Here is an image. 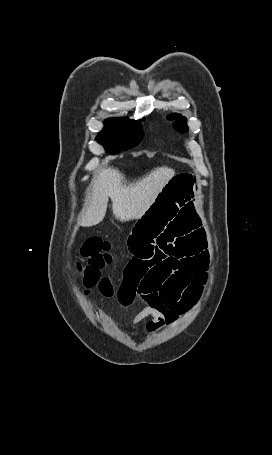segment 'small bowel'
I'll list each match as a JSON object with an SVG mask.
<instances>
[{
    "label": "small bowel",
    "instance_id": "c3829d8e",
    "mask_svg": "<svg viewBox=\"0 0 272 455\" xmlns=\"http://www.w3.org/2000/svg\"><path fill=\"white\" fill-rule=\"evenodd\" d=\"M195 175L173 176L154 204L137 221L128 238L132 255L117 292L123 307L138 298L145 306L132 326L148 319L155 332L172 322L196 302L207 267L206 240L193 200Z\"/></svg>",
    "mask_w": 272,
    "mask_h": 455
}]
</instances>
